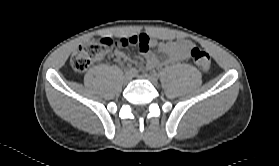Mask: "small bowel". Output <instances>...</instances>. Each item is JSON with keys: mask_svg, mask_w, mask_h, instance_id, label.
Listing matches in <instances>:
<instances>
[{"mask_svg": "<svg viewBox=\"0 0 279 166\" xmlns=\"http://www.w3.org/2000/svg\"><path fill=\"white\" fill-rule=\"evenodd\" d=\"M145 38L144 45H139L140 55L135 57L133 61L137 62L141 59L144 60L148 69L158 68L166 63H174L181 60H185L189 57V53L193 47V43L187 39H180L177 41H158L149 37L147 34H138L129 37L133 38ZM155 48L158 52L166 54V60H160L151 49ZM114 55L118 60L129 61L130 58L120 49L114 51Z\"/></svg>", "mask_w": 279, "mask_h": 166, "instance_id": "c3829d8e", "label": "small bowel"}]
</instances>
